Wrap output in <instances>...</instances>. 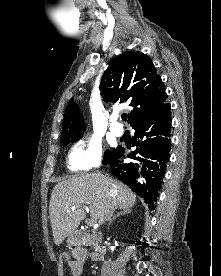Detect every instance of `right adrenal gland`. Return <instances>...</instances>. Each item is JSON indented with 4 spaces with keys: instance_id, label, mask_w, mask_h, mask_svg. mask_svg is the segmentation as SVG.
Listing matches in <instances>:
<instances>
[{
    "instance_id": "1",
    "label": "right adrenal gland",
    "mask_w": 221,
    "mask_h": 276,
    "mask_svg": "<svg viewBox=\"0 0 221 276\" xmlns=\"http://www.w3.org/2000/svg\"><path fill=\"white\" fill-rule=\"evenodd\" d=\"M131 213V209L130 208H125L123 209V211H120L115 217H113V219L109 222V226L113 223V221H115L118 217L122 216V215H126Z\"/></svg>"
}]
</instances>
